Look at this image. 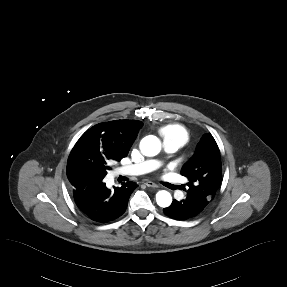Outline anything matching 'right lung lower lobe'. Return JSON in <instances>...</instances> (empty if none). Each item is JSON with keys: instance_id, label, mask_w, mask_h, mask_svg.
<instances>
[{"instance_id": "obj_1", "label": "right lung lower lobe", "mask_w": 287, "mask_h": 287, "mask_svg": "<svg viewBox=\"0 0 287 287\" xmlns=\"http://www.w3.org/2000/svg\"><path fill=\"white\" fill-rule=\"evenodd\" d=\"M105 176L93 172L81 173L69 180L74 201L80 211L96 222H109L126 210L129 197L137 184L123 183L110 190L103 182Z\"/></svg>"}]
</instances>
